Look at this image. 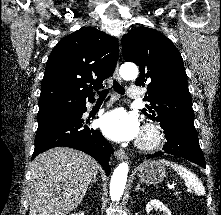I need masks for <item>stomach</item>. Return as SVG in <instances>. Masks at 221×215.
<instances>
[{"instance_id":"0dacf381","label":"stomach","mask_w":221,"mask_h":215,"mask_svg":"<svg viewBox=\"0 0 221 215\" xmlns=\"http://www.w3.org/2000/svg\"><path fill=\"white\" fill-rule=\"evenodd\" d=\"M166 175V168L158 162H147L139 170V178L146 184H157Z\"/></svg>"}]
</instances>
